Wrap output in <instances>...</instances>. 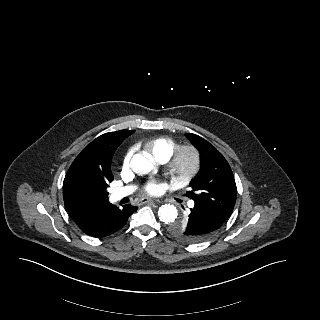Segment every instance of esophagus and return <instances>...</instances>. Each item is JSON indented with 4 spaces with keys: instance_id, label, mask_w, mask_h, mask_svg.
Wrapping results in <instances>:
<instances>
[{
    "instance_id": "esophagus-1",
    "label": "esophagus",
    "mask_w": 320,
    "mask_h": 320,
    "mask_svg": "<svg viewBox=\"0 0 320 320\" xmlns=\"http://www.w3.org/2000/svg\"><path fill=\"white\" fill-rule=\"evenodd\" d=\"M159 202V200H154V199H151V198H144V199H142L141 200V203L142 204H146V203H158Z\"/></svg>"
}]
</instances>
